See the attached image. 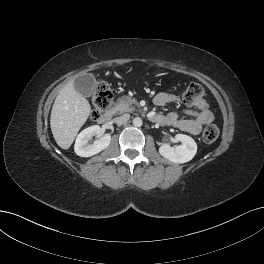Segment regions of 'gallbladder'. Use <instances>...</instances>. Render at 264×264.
Listing matches in <instances>:
<instances>
[{
	"mask_svg": "<svg viewBox=\"0 0 264 264\" xmlns=\"http://www.w3.org/2000/svg\"><path fill=\"white\" fill-rule=\"evenodd\" d=\"M95 77L92 74H84L74 81V88L85 97H90L95 86Z\"/></svg>",
	"mask_w": 264,
	"mask_h": 264,
	"instance_id": "bac80fb5",
	"label": "gallbladder"
}]
</instances>
